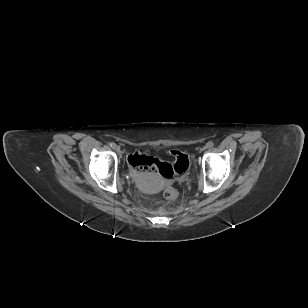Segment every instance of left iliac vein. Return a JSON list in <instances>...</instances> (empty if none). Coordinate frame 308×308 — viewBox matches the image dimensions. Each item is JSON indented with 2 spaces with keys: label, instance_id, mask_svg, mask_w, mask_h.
<instances>
[{
  "label": "left iliac vein",
  "instance_id": "1",
  "mask_svg": "<svg viewBox=\"0 0 308 308\" xmlns=\"http://www.w3.org/2000/svg\"><path fill=\"white\" fill-rule=\"evenodd\" d=\"M207 148H208L207 146H204V147H203V150H205V149H207Z\"/></svg>",
  "mask_w": 308,
  "mask_h": 308
}]
</instances>
